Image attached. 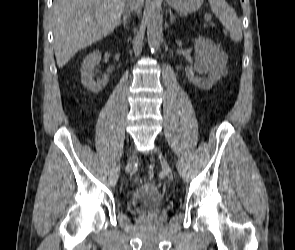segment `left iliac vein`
Masks as SVG:
<instances>
[{
    "mask_svg": "<svg viewBox=\"0 0 295 250\" xmlns=\"http://www.w3.org/2000/svg\"><path fill=\"white\" fill-rule=\"evenodd\" d=\"M155 152L160 156V159L162 162V168H163V171L165 172L167 178L169 180H173V178H174L173 172H172V169H171L167 159L165 158V156L163 155V153L161 152V150L158 147H155Z\"/></svg>",
    "mask_w": 295,
    "mask_h": 250,
    "instance_id": "4c4485c4",
    "label": "left iliac vein"
}]
</instances>
